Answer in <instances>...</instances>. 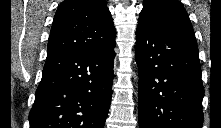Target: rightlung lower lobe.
<instances>
[{
    "label": "right lung lower lobe",
    "mask_w": 221,
    "mask_h": 128,
    "mask_svg": "<svg viewBox=\"0 0 221 128\" xmlns=\"http://www.w3.org/2000/svg\"><path fill=\"white\" fill-rule=\"evenodd\" d=\"M115 40L95 50L47 58L30 128H103L113 84Z\"/></svg>",
    "instance_id": "obj_1"
}]
</instances>
